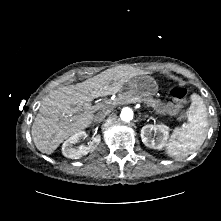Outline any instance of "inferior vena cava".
Instances as JSON below:
<instances>
[{
  "mask_svg": "<svg viewBox=\"0 0 221 221\" xmlns=\"http://www.w3.org/2000/svg\"><path fill=\"white\" fill-rule=\"evenodd\" d=\"M110 110H101L99 111L95 116H94V120L96 122H101L104 120V118L106 117L107 114H109Z\"/></svg>",
  "mask_w": 221,
  "mask_h": 221,
  "instance_id": "1",
  "label": "inferior vena cava"
}]
</instances>
